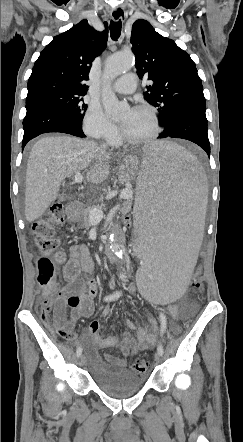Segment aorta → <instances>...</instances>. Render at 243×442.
<instances>
[{"mask_svg": "<svg viewBox=\"0 0 243 442\" xmlns=\"http://www.w3.org/2000/svg\"><path fill=\"white\" fill-rule=\"evenodd\" d=\"M133 66V57L131 53H116L111 55L106 63L105 78L110 81L117 76L130 70ZM102 103L105 112L110 117H116L128 108L127 102L119 101L115 94L106 86L102 94ZM112 251L119 258L123 259L124 252L117 243L114 234L110 235Z\"/></svg>", "mask_w": 243, "mask_h": 442, "instance_id": "aorta-1", "label": "aorta"}]
</instances>
